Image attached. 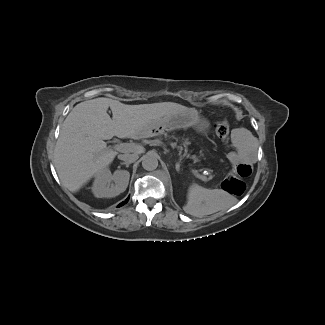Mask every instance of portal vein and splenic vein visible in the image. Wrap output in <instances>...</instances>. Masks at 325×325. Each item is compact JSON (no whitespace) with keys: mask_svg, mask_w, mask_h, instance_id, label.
<instances>
[{"mask_svg":"<svg viewBox=\"0 0 325 325\" xmlns=\"http://www.w3.org/2000/svg\"><path fill=\"white\" fill-rule=\"evenodd\" d=\"M140 146L134 144V143H118L114 145V149L120 152H133L135 150H138ZM192 172L196 177L203 181H207V178L201 174L198 173L197 170L192 169Z\"/></svg>","mask_w":325,"mask_h":325,"instance_id":"portal-vein-and-splenic-vein-1","label":"portal vein and splenic vein"}]
</instances>
